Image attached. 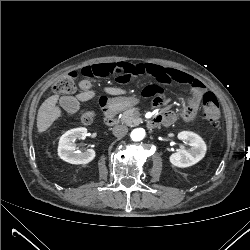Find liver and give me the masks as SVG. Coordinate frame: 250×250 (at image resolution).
<instances>
[{
	"instance_id": "liver-1",
	"label": "liver",
	"mask_w": 250,
	"mask_h": 250,
	"mask_svg": "<svg viewBox=\"0 0 250 250\" xmlns=\"http://www.w3.org/2000/svg\"><path fill=\"white\" fill-rule=\"evenodd\" d=\"M104 91L110 95H121L127 92L121 88L106 87ZM95 96V91L89 90L76 95V97H60L58 95H53L46 99L40 106L37 115V131L39 134L45 132L50 126L56 121L62 114V111L56 103L61 101L63 98H69L74 101L86 102Z\"/></svg>"
}]
</instances>
